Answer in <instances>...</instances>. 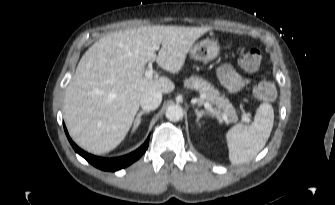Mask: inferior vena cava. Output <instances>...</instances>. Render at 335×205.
<instances>
[{"label":"inferior vena cava","mask_w":335,"mask_h":205,"mask_svg":"<svg viewBox=\"0 0 335 205\" xmlns=\"http://www.w3.org/2000/svg\"><path fill=\"white\" fill-rule=\"evenodd\" d=\"M162 101V94L155 90L150 89L145 91L140 98V105L144 110H155L158 108Z\"/></svg>","instance_id":"obj_1"}]
</instances>
